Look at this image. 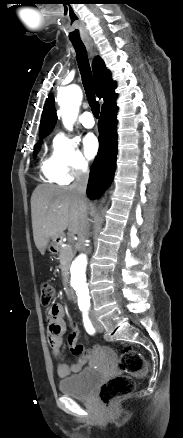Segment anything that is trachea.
<instances>
[{
  "mask_svg": "<svg viewBox=\"0 0 183 438\" xmlns=\"http://www.w3.org/2000/svg\"><path fill=\"white\" fill-rule=\"evenodd\" d=\"M72 44L76 51V59L78 62V67L80 70L87 99L89 101L92 113L94 114L95 117L98 118L100 112V105L98 101H96L94 96V81H93L92 72H91L85 45L82 42L81 43L72 42Z\"/></svg>",
  "mask_w": 183,
  "mask_h": 438,
  "instance_id": "trachea-1",
  "label": "trachea"
}]
</instances>
